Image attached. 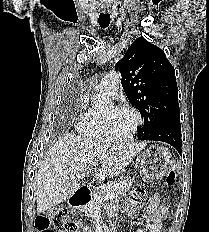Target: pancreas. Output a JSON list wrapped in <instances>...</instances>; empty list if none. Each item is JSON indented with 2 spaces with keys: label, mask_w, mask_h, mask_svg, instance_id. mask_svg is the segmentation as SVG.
Masks as SVG:
<instances>
[{
  "label": "pancreas",
  "mask_w": 209,
  "mask_h": 232,
  "mask_svg": "<svg viewBox=\"0 0 209 232\" xmlns=\"http://www.w3.org/2000/svg\"><path fill=\"white\" fill-rule=\"evenodd\" d=\"M134 182V179H120L118 181L111 182L105 186L100 187L93 193V199L91 202L82 208L85 216L92 217V214L96 207H98L104 200L103 196L107 193H117L118 195L126 194ZM114 204V203H112Z\"/></svg>",
  "instance_id": "1"
}]
</instances>
